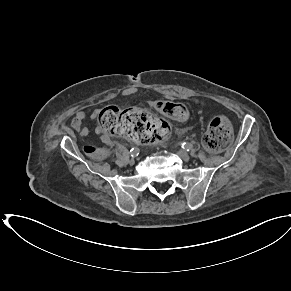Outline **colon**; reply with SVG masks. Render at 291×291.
<instances>
[{
	"label": "colon",
	"mask_w": 291,
	"mask_h": 291,
	"mask_svg": "<svg viewBox=\"0 0 291 291\" xmlns=\"http://www.w3.org/2000/svg\"><path fill=\"white\" fill-rule=\"evenodd\" d=\"M155 109L162 115L178 121L189 118L187 108L177 102L158 100ZM100 129L117 136H122L140 143H152L165 134L168 123L156 115L140 109H120L117 106H107L98 114ZM233 130L229 119L223 115L215 117L209 124L203 137L204 146L211 152L223 151L231 142ZM85 153L95 159L105 156L102 148L88 145Z\"/></svg>",
	"instance_id": "1"
}]
</instances>
